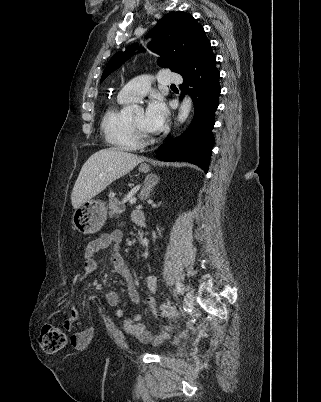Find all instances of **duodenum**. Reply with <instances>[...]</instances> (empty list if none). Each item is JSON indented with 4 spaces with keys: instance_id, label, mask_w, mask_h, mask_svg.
<instances>
[{
    "instance_id": "1",
    "label": "duodenum",
    "mask_w": 321,
    "mask_h": 402,
    "mask_svg": "<svg viewBox=\"0 0 321 402\" xmlns=\"http://www.w3.org/2000/svg\"><path fill=\"white\" fill-rule=\"evenodd\" d=\"M134 218H135V221L139 224H142L145 222V216H144L143 212L140 210L135 211Z\"/></svg>"
}]
</instances>
